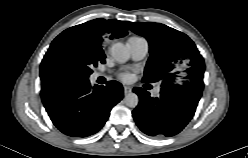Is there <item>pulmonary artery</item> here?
I'll use <instances>...</instances> for the list:
<instances>
[{
	"label": "pulmonary artery",
	"mask_w": 248,
	"mask_h": 158,
	"mask_svg": "<svg viewBox=\"0 0 248 158\" xmlns=\"http://www.w3.org/2000/svg\"><path fill=\"white\" fill-rule=\"evenodd\" d=\"M127 45L130 49L131 57L135 61H140L144 59L149 52V43L143 37H137V36L131 37L129 38ZM100 76H102V73L100 72H96L94 74L95 78L100 77ZM159 90L160 88L157 87L155 89V93H158Z\"/></svg>",
	"instance_id": "1"
}]
</instances>
